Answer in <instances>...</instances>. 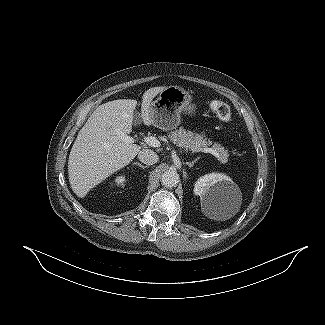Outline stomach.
Instances as JSON below:
<instances>
[{"label":"stomach","mask_w":325,"mask_h":325,"mask_svg":"<svg viewBox=\"0 0 325 325\" xmlns=\"http://www.w3.org/2000/svg\"><path fill=\"white\" fill-rule=\"evenodd\" d=\"M181 113L194 116L196 105L192 103L190 93L180 86L166 87L150 105L153 125L162 130L175 129Z\"/></svg>","instance_id":"1"}]
</instances>
